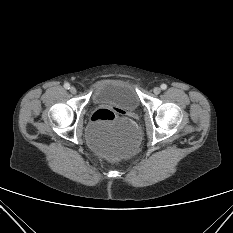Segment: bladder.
Here are the masks:
<instances>
[{
  "mask_svg": "<svg viewBox=\"0 0 233 233\" xmlns=\"http://www.w3.org/2000/svg\"><path fill=\"white\" fill-rule=\"evenodd\" d=\"M92 100L95 104L116 106L127 111L136 110L141 103L134 83L127 79L100 81L94 89ZM86 139L95 154L116 160L136 152L140 132L133 121L124 120L104 129L89 128Z\"/></svg>",
  "mask_w": 233,
  "mask_h": 233,
  "instance_id": "31cf9c89",
  "label": "bladder"
}]
</instances>
